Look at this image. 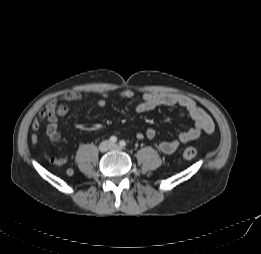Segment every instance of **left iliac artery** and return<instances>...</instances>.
I'll return each instance as SVG.
<instances>
[{"label": "left iliac artery", "mask_w": 261, "mask_h": 254, "mask_svg": "<svg viewBox=\"0 0 261 254\" xmlns=\"http://www.w3.org/2000/svg\"><path fill=\"white\" fill-rule=\"evenodd\" d=\"M119 145H120V147H125L126 146V142L124 141V140H121L120 142H119Z\"/></svg>", "instance_id": "1"}]
</instances>
